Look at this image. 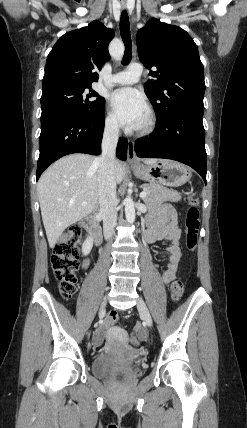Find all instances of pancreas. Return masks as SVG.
<instances>
[{"instance_id":"pancreas-1","label":"pancreas","mask_w":247,"mask_h":428,"mask_svg":"<svg viewBox=\"0 0 247 428\" xmlns=\"http://www.w3.org/2000/svg\"><path fill=\"white\" fill-rule=\"evenodd\" d=\"M141 188L147 192V196L143 198L146 204H150L152 202L162 203L165 201L177 202L181 200L180 193L161 185L143 184L141 185Z\"/></svg>"}]
</instances>
